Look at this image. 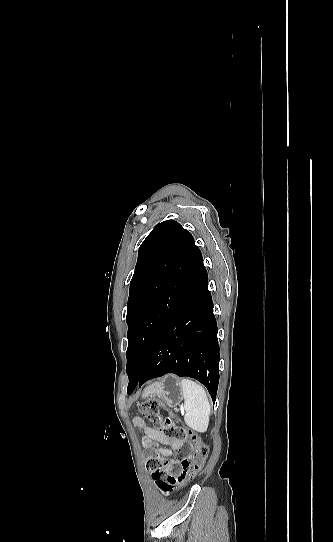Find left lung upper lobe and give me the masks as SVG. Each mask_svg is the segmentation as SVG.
I'll list each match as a JSON object with an SVG mask.
<instances>
[{
  "label": "left lung upper lobe",
  "instance_id": "left-lung-upper-lobe-1",
  "mask_svg": "<svg viewBox=\"0 0 333 542\" xmlns=\"http://www.w3.org/2000/svg\"><path fill=\"white\" fill-rule=\"evenodd\" d=\"M204 269L194 238L176 221L157 224L143 241L127 305L129 379L138 376L158 332Z\"/></svg>",
  "mask_w": 333,
  "mask_h": 542
}]
</instances>
